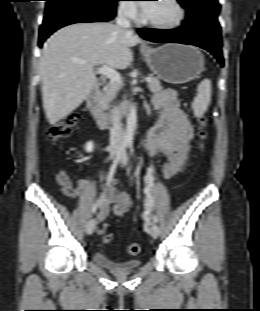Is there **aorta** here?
<instances>
[{
  "instance_id": "aorta-1",
  "label": "aorta",
  "mask_w": 260,
  "mask_h": 311,
  "mask_svg": "<svg viewBox=\"0 0 260 311\" xmlns=\"http://www.w3.org/2000/svg\"><path fill=\"white\" fill-rule=\"evenodd\" d=\"M136 126H137L136 109L135 107H132L127 116L126 130L124 132V140L126 142H132Z\"/></svg>"
}]
</instances>
